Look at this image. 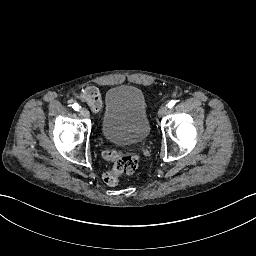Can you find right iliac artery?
Masks as SVG:
<instances>
[{"mask_svg": "<svg viewBox=\"0 0 256 256\" xmlns=\"http://www.w3.org/2000/svg\"><path fill=\"white\" fill-rule=\"evenodd\" d=\"M72 107H73V109L76 110V111H79V109L81 108V107L79 106V104H77V103H74V104L72 105Z\"/></svg>", "mask_w": 256, "mask_h": 256, "instance_id": "82829eb1", "label": "right iliac artery"}]
</instances>
